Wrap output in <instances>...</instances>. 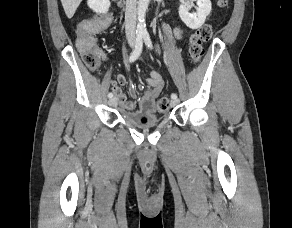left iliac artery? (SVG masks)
Wrapping results in <instances>:
<instances>
[{
  "label": "left iliac artery",
  "mask_w": 292,
  "mask_h": 228,
  "mask_svg": "<svg viewBox=\"0 0 292 228\" xmlns=\"http://www.w3.org/2000/svg\"><path fill=\"white\" fill-rule=\"evenodd\" d=\"M143 39H144V42H145L146 46L148 48H150V49H153L152 41H151L150 36H149V34L147 32H145L143 34ZM171 98L172 99H177V94L176 93H172L171 94Z\"/></svg>",
  "instance_id": "obj_1"
}]
</instances>
